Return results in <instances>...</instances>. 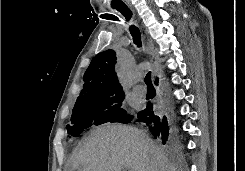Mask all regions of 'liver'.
Masks as SVG:
<instances>
[{"instance_id": "6515ba94", "label": "liver", "mask_w": 245, "mask_h": 171, "mask_svg": "<svg viewBox=\"0 0 245 171\" xmlns=\"http://www.w3.org/2000/svg\"><path fill=\"white\" fill-rule=\"evenodd\" d=\"M177 171L161 148L142 131L126 125L105 124L90 132L72 158L77 171Z\"/></svg>"}]
</instances>
